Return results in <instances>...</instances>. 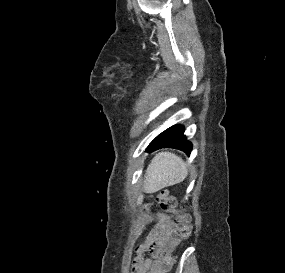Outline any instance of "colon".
<instances>
[{
    "instance_id": "1",
    "label": "colon",
    "mask_w": 285,
    "mask_h": 273,
    "mask_svg": "<svg viewBox=\"0 0 285 273\" xmlns=\"http://www.w3.org/2000/svg\"><path fill=\"white\" fill-rule=\"evenodd\" d=\"M155 200L163 211L174 214L179 236L181 239L187 240L192 231L190 218L186 213L177 209L175 198L170 196L166 189H163L155 196Z\"/></svg>"
}]
</instances>
